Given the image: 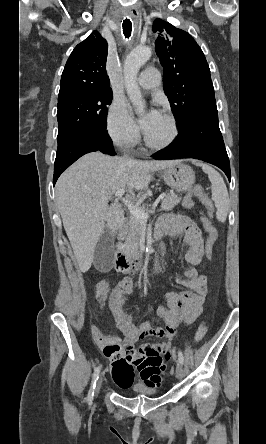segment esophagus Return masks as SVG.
<instances>
[{
    "instance_id": "1",
    "label": "esophagus",
    "mask_w": 266,
    "mask_h": 444,
    "mask_svg": "<svg viewBox=\"0 0 266 444\" xmlns=\"http://www.w3.org/2000/svg\"><path fill=\"white\" fill-rule=\"evenodd\" d=\"M130 16H132V18H134L135 20H137L139 18V12L135 7H132L130 10Z\"/></svg>"
}]
</instances>
